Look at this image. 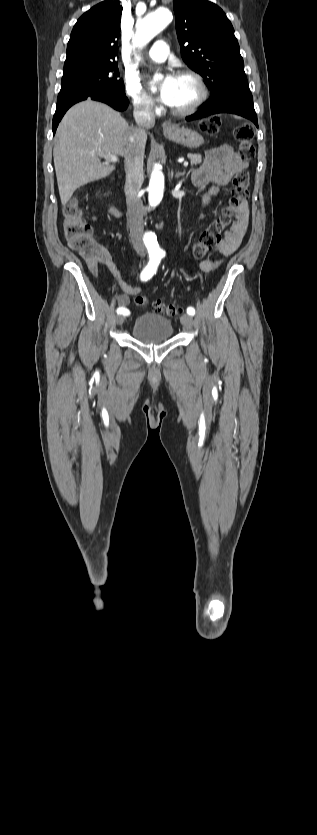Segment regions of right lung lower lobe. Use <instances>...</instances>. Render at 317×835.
Wrapping results in <instances>:
<instances>
[{
	"label": "right lung lower lobe",
	"instance_id": "1",
	"mask_svg": "<svg viewBox=\"0 0 317 835\" xmlns=\"http://www.w3.org/2000/svg\"><path fill=\"white\" fill-rule=\"evenodd\" d=\"M87 99H92V100L104 102V103L110 105L111 107H113L114 109H116L118 111L125 110L128 106V103H129L125 94L117 93V92H114V91H111V90H99V91L79 94V95L70 97L68 99H64L62 101H59V102H57L56 112H55V115L53 117V124H52L53 134H55L57 126H58L60 120L62 119L63 115L65 114V112L73 104H75L77 102H80V101H83V100H87Z\"/></svg>",
	"mask_w": 317,
	"mask_h": 835
}]
</instances>
